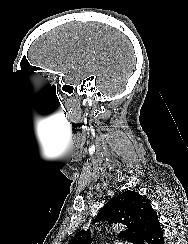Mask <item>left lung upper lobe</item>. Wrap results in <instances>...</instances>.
<instances>
[{
	"instance_id": "obj_1",
	"label": "left lung upper lobe",
	"mask_w": 188,
	"mask_h": 244,
	"mask_svg": "<svg viewBox=\"0 0 188 244\" xmlns=\"http://www.w3.org/2000/svg\"><path fill=\"white\" fill-rule=\"evenodd\" d=\"M155 212L150 200L135 191H125L112 198L98 212L94 223L107 220L109 223L121 222L127 230L119 234L123 240L142 244L150 216ZM90 230L79 231L68 244H90Z\"/></svg>"
}]
</instances>
